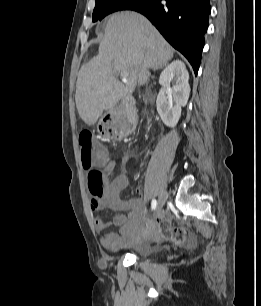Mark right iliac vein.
<instances>
[{"label": "right iliac vein", "mask_w": 261, "mask_h": 306, "mask_svg": "<svg viewBox=\"0 0 261 306\" xmlns=\"http://www.w3.org/2000/svg\"><path fill=\"white\" fill-rule=\"evenodd\" d=\"M166 199H167V192L166 191H162L159 194V197H158V202H157V207H156V213L157 214L162 210V208H163V206L165 204Z\"/></svg>", "instance_id": "1"}]
</instances>
